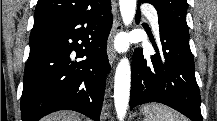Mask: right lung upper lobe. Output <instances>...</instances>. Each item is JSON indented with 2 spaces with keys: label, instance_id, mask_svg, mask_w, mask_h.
Returning <instances> with one entry per match:
<instances>
[{
  "label": "right lung upper lobe",
  "instance_id": "right-lung-upper-lobe-1",
  "mask_svg": "<svg viewBox=\"0 0 217 121\" xmlns=\"http://www.w3.org/2000/svg\"><path fill=\"white\" fill-rule=\"evenodd\" d=\"M95 0H38L34 24L75 16L90 9Z\"/></svg>",
  "mask_w": 217,
  "mask_h": 121
}]
</instances>
